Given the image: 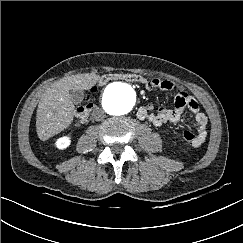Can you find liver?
<instances>
[{
    "instance_id": "liver-1",
    "label": "liver",
    "mask_w": 243,
    "mask_h": 243,
    "mask_svg": "<svg viewBox=\"0 0 243 243\" xmlns=\"http://www.w3.org/2000/svg\"><path fill=\"white\" fill-rule=\"evenodd\" d=\"M96 74H76L53 83L42 94L36 114V131L45 141L68 128L73 121L75 106L71 91L88 89L96 80Z\"/></svg>"
}]
</instances>
